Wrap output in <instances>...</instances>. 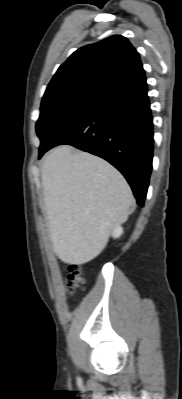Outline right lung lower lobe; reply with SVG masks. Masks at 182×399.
Listing matches in <instances>:
<instances>
[{"mask_svg": "<svg viewBox=\"0 0 182 399\" xmlns=\"http://www.w3.org/2000/svg\"><path fill=\"white\" fill-rule=\"evenodd\" d=\"M147 92L145 83L105 98L97 109L60 131L47 150L69 144L104 158L124 175L143 206L154 145Z\"/></svg>", "mask_w": 182, "mask_h": 399, "instance_id": "1", "label": "right lung lower lobe"}]
</instances>
